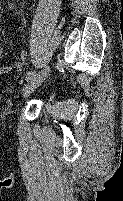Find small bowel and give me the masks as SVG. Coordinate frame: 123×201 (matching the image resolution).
<instances>
[{
  "label": "small bowel",
  "instance_id": "1",
  "mask_svg": "<svg viewBox=\"0 0 123 201\" xmlns=\"http://www.w3.org/2000/svg\"><path fill=\"white\" fill-rule=\"evenodd\" d=\"M4 53V48L0 45V58ZM28 58V53L25 50H22L19 53V61L11 64V65H4L0 66V74L10 72V71H21L24 67V64Z\"/></svg>",
  "mask_w": 123,
  "mask_h": 201
}]
</instances>
